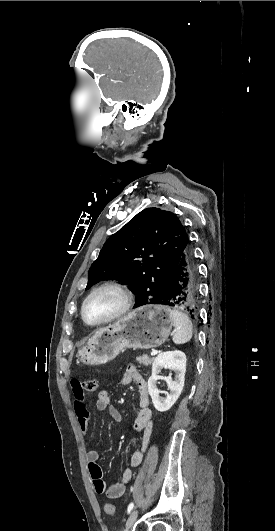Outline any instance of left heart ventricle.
I'll return each instance as SVG.
<instances>
[{
  "mask_svg": "<svg viewBox=\"0 0 275 531\" xmlns=\"http://www.w3.org/2000/svg\"><path fill=\"white\" fill-rule=\"evenodd\" d=\"M120 305L121 298L116 292L104 291L87 301L84 315L88 321L96 322L113 314Z\"/></svg>",
  "mask_w": 275,
  "mask_h": 531,
  "instance_id": "1",
  "label": "left heart ventricle"
}]
</instances>
